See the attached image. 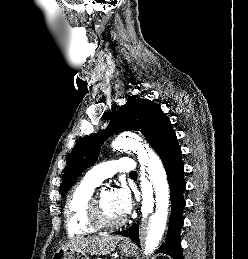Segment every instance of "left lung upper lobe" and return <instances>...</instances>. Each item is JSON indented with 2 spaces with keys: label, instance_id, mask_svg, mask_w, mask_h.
Returning <instances> with one entry per match:
<instances>
[{
  "label": "left lung upper lobe",
  "instance_id": "obj_1",
  "mask_svg": "<svg viewBox=\"0 0 248 259\" xmlns=\"http://www.w3.org/2000/svg\"><path fill=\"white\" fill-rule=\"evenodd\" d=\"M140 131L158 152L177 140L172 124L156 103L133 96L113 115L106 130L83 138L73 149L64 171L61 194L65 196L78 176L98 157L106 138L122 131Z\"/></svg>",
  "mask_w": 248,
  "mask_h": 259
}]
</instances>
